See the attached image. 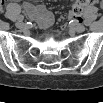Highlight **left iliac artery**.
<instances>
[{
  "label": "left iliac artery",
  "instance_id": "left-iliac-artery-1",
  "mask_svg": "<svg viewBox=\"0 0 103 103\" xmlns=\"http://www.w3.org/2000/svg\"><path fill=\"white\" fill-rule=\"evenodd\" d=\"M90 23H91L90 20H88V19L84 20V25L89 26Z\"/></svg>",
  "mask_w": 103,
  "mask_h": 103
}]
</instances>
